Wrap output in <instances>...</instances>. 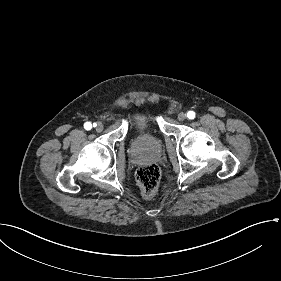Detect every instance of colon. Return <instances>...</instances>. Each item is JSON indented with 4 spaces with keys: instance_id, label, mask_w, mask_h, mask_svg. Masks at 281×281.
<instances>
[{
    "instance_id": "obj_1",
    "label": "colon",
    "mask_w": 281,
    "mask_h": 281,
    "mask_svg": "<svg viewBox=\"0 0 281 281\" xmlns=\"http://www.w3.org/2000/svg\"><path fill=\"white\" fill-rule=\"evenodd\" d=\"M161 172L156 164H146L137 171V180L145 197H152L160 181Z\"/></svg>"
}]
</instances>
